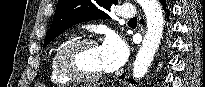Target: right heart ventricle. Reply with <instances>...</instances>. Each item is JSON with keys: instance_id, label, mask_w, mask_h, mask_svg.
Returning <instances> with one entry per match:
<instances>
[{"instance_id": "obj_1", "label": "right heart ventricle", "mask_w": 205, "mask_h": 87, "mask_svg": "<svg viewBox=\"0 0 205 87\" xmlns=\"http://www.w3.org/2000/svg\"><path fill=\"white\" fill-rule=\"evenodd\" d=\"M69 39H64L62 41H60L54 51H53V54L51 56V59H50V63H49V76H50V80L53 84H56V85H66V84H69L71 80L65 78L63 75H61L56 67V63H55V56H56V53L58 51V49L66 42L68 41Z\"/></svg>"}]
</instances>
